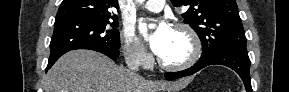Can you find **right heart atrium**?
Here are the masks:
<instances>
[{
  "instance_id": "1",
  "label": "right heart atrium",
  "mask_w": 289,
  "mask_h": 92,
  "mask_svg": "<svg viewBox=\"0 0 289 92\" xmlns=\"http://www.w3.org/2000/svg\"><path fill=\"white\" fill-rule=\"evenodd\" d=\"M122 50L126 60L137 66H146L150 55L132 28H125L122 33Z\"/></svg>"
}]
</instances>
